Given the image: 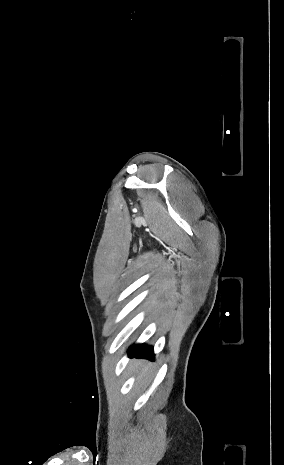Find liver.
Masks as SVG:
<instances>
[{"instance_id": "6515ba94", "label": "liver", "mask_w": 284, "mask_h": 465, "mask_svg": "<svg viewBox=\"0 0 284 465\" xmlns=\"http://www.w3.org/2000/svg\"><path fill=\"white\" fill-rule=\"evenodd\" d=\"M145 373H147V367H144V369H142V377H146Z\"/></svg>"}]
</instances>
